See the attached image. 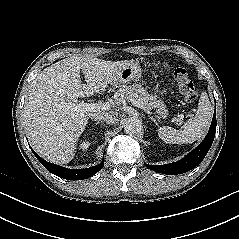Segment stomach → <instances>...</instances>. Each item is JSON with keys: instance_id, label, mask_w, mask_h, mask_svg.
I'll return each mask as SVG.
<instances>
[{"instance_id": "1", "label": "stomach", "mask_w": 239, "mask_h": 239, "mask_svg": "<svg viewBox=\"0 0 239 239\" xmlns=\"http://www.w3.org/2000/svg\"><path fill=\"white\" fill-rule=\"evenodd\" d=\"M142 69L138 61H127L116 73L112 82L113 87H119L124 84H128L132 81H137L141 78ZM153 108L156 109L157 114L161 118L167 116V109L165 104L161 100L153 101Z\"/></svg>"}]
</instances>
